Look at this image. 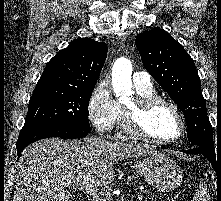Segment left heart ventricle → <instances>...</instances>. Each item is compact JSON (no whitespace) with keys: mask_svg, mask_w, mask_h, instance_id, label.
<instances>
[{"mask_svg":"<svg viewBox=\"0 0 221 201\" xmlns=\"http://www.w3.org/2000/svg\"><path fill=\"white\" fill-rule=\"evenodd\" d=\"M142 127L150 136L163 140L174 139L180 134L176 115L163 105L155 107L142 119Z\"/></svg>","mask_w":221,"mask_h":201,"instance_id":"left-heart-ventricle-1","label":"left heart ventricle"}]
</instances>
